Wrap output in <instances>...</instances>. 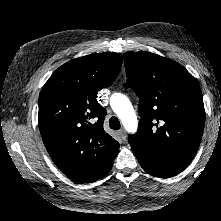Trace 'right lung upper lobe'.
Wrapping results in <instances>:
<instances>
[{"mask_svg":"<svg viewBox=\"0 0 221 221\" xmlns=\"http://www.w3.org/2000/svg\"><path fill=\"white\" fill-rule=\"evenodd\" d=\"M123 57L90 54L68 61L48 79L39 96L38 124L45 147L69 178L88 183L111 170L119 143L103 129L106 109L97 92L117 78Z\"/></svg>","mask_w":221,"mask_h":221,"instance_id":"cb5924a9","label":"right lung upper lobe"}]
</instances>
